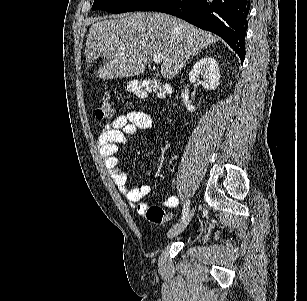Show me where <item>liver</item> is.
I'll return each instance as SVG.
<instances>
[{
	"label": "liver",
	"instance_id": "1",
	"mask_svg": "<svg viewBox=\"0 0 307 301\" xmlns=\"http://www.w3.org/2000/svg\"><path fill=\"white\" fill-rule=\"evenodd\" d=\"M216 40L219 36L213 32L171 14L130 12L124 18H94L86 40L85 56L94 74L109 80L142 74L148 60L154 54H161L162 76L174 78L192 54ZM100 58L103 66L99 64L94 70Z\"/></svg>",
	"mask_w": 307,
	"mask_h": 301
}]
</instances>
